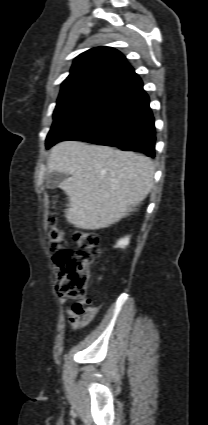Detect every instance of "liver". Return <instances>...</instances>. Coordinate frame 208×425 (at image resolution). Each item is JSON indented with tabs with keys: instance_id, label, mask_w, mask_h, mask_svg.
I'll use <instances>...</instances> for the list:
<instances>
[{
	"instance_id": "obj_1",
	"label": "liver",
	"mask_w": 208,
	"mask_h": 425,
	"mask_svg": "<svg viewBox=\"0 0 208 425\" xmlns=\"http://www.w3.org/2000/svg\"><path fill=\"white\" fill-rule=\"evenodd\" d=\"M70 175L60 184L69 196L66 219L85 230L107 228L126 217L153 186L150 158L108 146L64 141L55 145L48 172Z\"/></svg>"
}]
</instances>
